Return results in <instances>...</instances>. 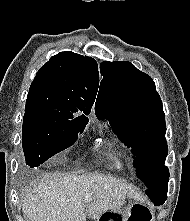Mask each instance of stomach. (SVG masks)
<instances>
[{
  "instance_id": "0dacf381",
  "label": "stomach",
  "mask_w": 190,
  "mask_h": 221,
  "mask_svg": "<svg viewBox=\"0 0 190 221\" xmlns=\"http://www.w3.org/2000/svg\"><path fill=\"white\" fill-rule=\"evenodd\" d=\"M121 205L122 209L105 211L96 221H150V218L132 217H153L152 209L148 208L145 200H121Z\"/></svg>"
}]
</instances>
